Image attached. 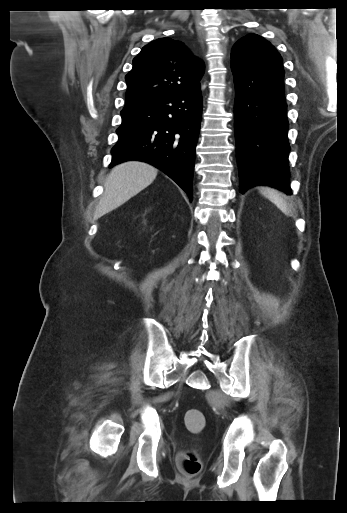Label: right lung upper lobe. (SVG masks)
<instances>
[{
	"mask_svg": "<svg viewBox=\"0 0 347 513\" xmlns=\"http://www.w3.org/2000/svg\"><path fill=\"white\" fill-rule=\"evenodd\" d=\"M204 64L180 42L160 38L144 46L125 77L126 105L133 108L169 96L200 90Z\"/></svg>",
	"mask_w": 347,
	"mask_h": 513,
	"instance_id": "1",
	"label": "right lung upper lobe"
}]
</instances>
